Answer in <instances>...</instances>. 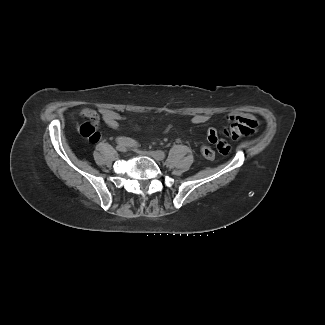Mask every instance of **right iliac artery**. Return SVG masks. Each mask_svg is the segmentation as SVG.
<instances>
[{"instance_id": "obj_1", "label": "right iliac artery", "mask_w": 325, "mask_h": 325, "mask_svg": "<svg viewBox=\"0 0 325 325\" xmlns=\"http://www.w3.org/2000/svg\"><path fill=\"white\" fill-rule=\"evenodd\" d=\"M116 141H117L118 145H124V146H129V147L139 146V144L131 138L119 137V138H117Z\"/></svg>"}]
</instances>
